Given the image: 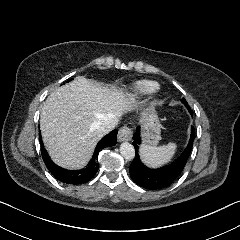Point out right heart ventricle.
Returning a JSON list of instances; mask_svg holds the SVG:
<instances>
[{"mask_svg": "<svg viewBox=\"0 0 240 240\" xmlns=\"http://www.w3.org/2000/svg\"><path fill=\"white\" fill-rule=\"evenodd\" d=\"M156 87H157V84L154 82L138 81L132 86V88H130L129 91H127L125 93H121V96L111 100V102H109L108 105H112L115 107L117 101L120 99H123L125 97L133 99V98H136V97H139V96H142V95L152 92L153 90L156 89Z\"/></svg>", "mask_w": 240, "mask_h": 240, "instance_id": "right-heart-ventricle-1", "label": "right heart ventricle"}]
</instances>
